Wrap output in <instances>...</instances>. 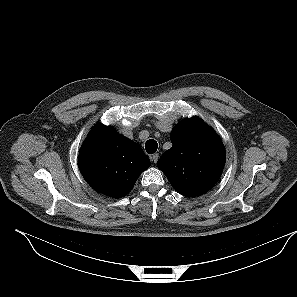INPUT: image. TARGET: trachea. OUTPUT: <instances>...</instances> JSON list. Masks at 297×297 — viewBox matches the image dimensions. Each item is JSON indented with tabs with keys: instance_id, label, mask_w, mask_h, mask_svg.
<instances>
[{
	"instance_id": "obj_1",
	"label": "trachea",
	"mask_w": 297,
	"mask_h": 297,
	"mask_svg": "<svg viewBox=\"0 0 297 297\" xmlns=\"http://www.w3.org/2000/svg\"><path fill=\"white\" fill-rule=\"evenodd\" d=\"M158 144L154 139H149L145 143V149L148 154H153L157 151Z\"/></svg>"
}]
</instances>
